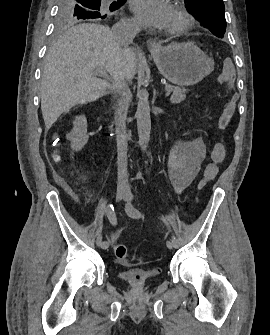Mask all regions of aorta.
<instances>
[{
	"mask_svg": "<svg viewBox=\"0 0 270 335\" xmlns=\"http://www.w3.org/2000/svg\"><path fill=\"white\" fill-rule=\"evenodd\" d=\"M137 130L139 136V146L142 150H146L147 144L150 140L151 132V118L149 108V94L145 88L137 90Z\"/></svg>",
	"mask_w": 270,
	"mask_h": 335,
	"instance_id": "aorta-1",
	"label": "aorta"
}]
</instances>
